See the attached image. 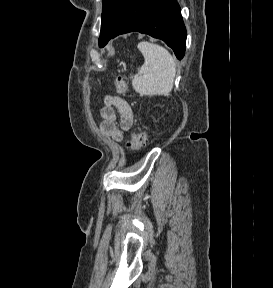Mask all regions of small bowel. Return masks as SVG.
<instances>
[{"instance_id": "c3829d8e", "label": "small bowel", "mask_w": 273, "mask_h": 288, "mask_svg": "<svg viewBox=\"0 0 273 288\" xmlns=\"http://www.w3.org/2000/svg\"><path fill=\"white\" fill-rule=\"evenodd\" d=\"M99 113L102 118L99 126L101 132L112 140L121 142L133 125L134 117L130 104L118 95L107 94Z\"/></svg>"}]
</instances>
